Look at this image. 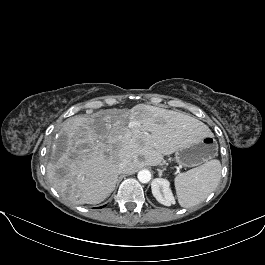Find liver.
<instances>
[{
    "instance_id": "obj_1",
    "label": "liver",
    "mask_w": 265,
    "mask_h": 265,
    "mask_svg": "<svg viewBox=\"0 0 265 265\" xmlns=\"http://www.w3.org/2000/svg\"><path fill=\"white\" fill-rule=\"evenodd\" d=\"M209 134V128L191 116L145 104L129 111L73 116L57 133L47 176L55 190L75 204H98L114 190L121 162L127 163V173L156 166L186 141Z\"/></svg>"
}]
</instances>
